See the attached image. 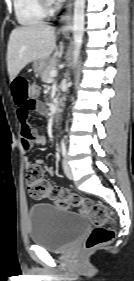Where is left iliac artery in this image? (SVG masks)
<instances>
[{"label":"left iliac artery","instance_id":"left-iliac-artery-1","mask_svg":"<svg viewBox=\"0 0 134 281\" xmlns=\"http://www.w3.org/2000/svg\"><path fill=\"white\" fill-rule=\"evenodd\" d=\"M61 152H62V155H63V157H66V145H65V142H64V140H62V142H61Z\"/></svg>","mask_w":134,"mask_h":281}]
</instances>
